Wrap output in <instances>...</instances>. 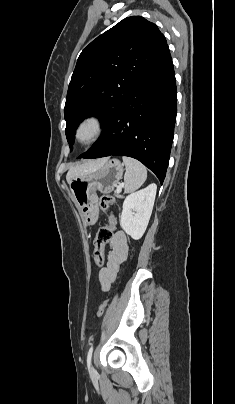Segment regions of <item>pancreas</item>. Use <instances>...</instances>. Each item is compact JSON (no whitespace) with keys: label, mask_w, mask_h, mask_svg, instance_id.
Wrapping results in <instances>:
<instances>
[{"label":"pancreas","mask_w":235,"mask_h":404,"mask_svg":"<svg viewBox=\"0 0 235 404\" xmlns=\"http://www.w3.org/2000/svg\"><path fill=\"white\" fill-rule=\"evenodd\" d=\"M115 196H116L117 198H122V197H123L122 195L119 194V192H117V193L115 194Z\"/></svg>","instance_id":"cf45deb5"}]
</instances>
